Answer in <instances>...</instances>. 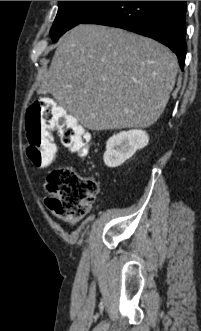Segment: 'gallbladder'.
Returning a JSON list of instances; mask_svg holds the SVG:
<instances>
[{"label": "gallbladder", "instance_id": "obj_1", "mask_svg": "<svg viewBox=\"0 0 201 331\" xmlns=\"http://www.w3.org/2000/svg\"><path fill=\"white\" fill-rule=\"evenodd\" d=\"M41 94L45 95V94H46V92H43V91H41Z\"/></svg>", "mask_w": 201, "mask_h": 331}]
</instances>
